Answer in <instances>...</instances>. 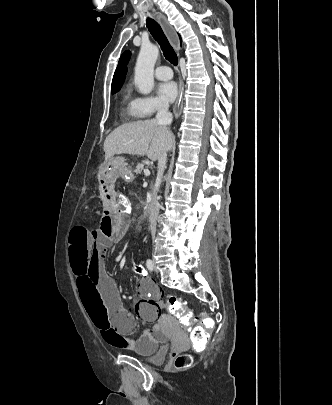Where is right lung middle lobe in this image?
Listing matches in <instances>:
<instances>
[{"instance_id": "right-lung-middle-lobe-1", "label": "right lung middle lobe", "mask_w": 332, "mask_h": 405, "mask_svg": "<svg viewBox=\"0 0 332 405\" xmlns=\"http://www.w3.org/2000/svg\"><path fill=\"white\" fill-rule=\"evenodd\" d=\"M121 86H122V84L112 87L111 88L112 94H115L116 92H118L120 90Z\"/></svg>"}]
</instances>
